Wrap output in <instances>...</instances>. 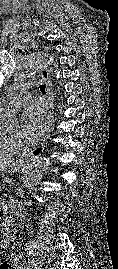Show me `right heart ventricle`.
Returning <instances> with one entry per match:
<instances>
[{
	"instance_id": "obj_1",
	"label": "right heart ventricle",
	"mask_w": 118,
	"mask_h": 269,
	"mask_svg": "<svg viewBox=\"0 0 118 269\" xmlns=\"http://www.w3.org/2000/svg\"><path fill=\"white\" fill-rule=\"evenodd\" d=\"M17 148L0 138V153H14Z\"/></svg>"
}]
</instances>
